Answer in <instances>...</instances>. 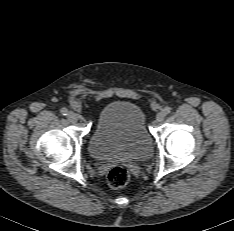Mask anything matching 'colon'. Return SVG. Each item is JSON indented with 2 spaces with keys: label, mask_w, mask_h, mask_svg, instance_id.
Wrapping results in <instances>:
<instances>
[{
  "label": "colon",
  "mask_w": 234,
  "mask_h": 231,
  "mask_svg": "<svg viewBox=\"0 0 234 231\" xmlns=\"http://www.w3.org/2000/svg\"><path fill=\"white\" fill-rule=\"evenodd\" d=\"M108 184L113 189L124 187L130 179L129 171L122 166L115 167L108 174Z\"/></svg>",
  "instance_id": "5ec220e1"
}]
</instances>
